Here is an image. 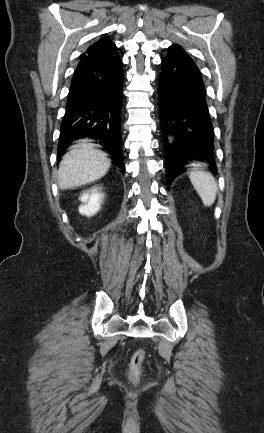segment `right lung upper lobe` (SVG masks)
Segmentation results:
<instances>
[{"mask_svg": "<svg viewBox=\"0 0 264 433\" xmlns=\"http://www.w3.org/2000/svg\"><path fill=\"white\" fill-rule=\"evenodd\" d=\"M88 53H98L105 57L118 56L117 47L109 37L101 38L99 41L91 45L85 54Z\"/></svg>", "mask_w": 264, "mask_h": 433, "instance_id": "obj_1", "label": "right lung upper lobe"}]
</instances>
